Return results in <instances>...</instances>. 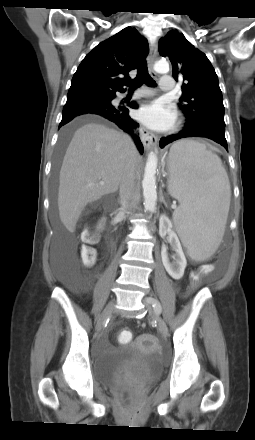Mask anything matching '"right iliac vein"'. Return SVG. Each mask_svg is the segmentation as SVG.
<instances>
[{
  "label": "right iliac vein",
  "instance_id": "obj_1",
  "mask_svg": "<svg viewBox=\"0 0 255 440\" xmlns=\"http://www.w3.org/2000/svg\"><path fill=\"white\" fill-rule=\"evenodd\" d=\"M114 306H115V302L111 301L108 303V305L103 310V313H102L101 317L99 318L97 325H96L97 332H100L102 330L105 321L111 317L113 310H114Z\"/></svg>",
  "mask_w": 255,
  "mask_h": 440
}]
</instances>
